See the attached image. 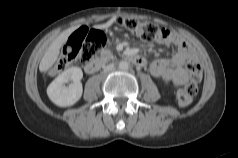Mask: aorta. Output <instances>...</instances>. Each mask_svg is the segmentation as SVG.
I'll return each mask as SVG.
<instances>
[{
    "instance_id": "obj_1",
    "label": "aorta",
    "mask_w": 238,
    "mask_h": 158,
    "mask_svg": "<svg viewBox=\"0 0 238 158\" xmlns=\"http://www.w3.org/2000/svg\"><path fill=\"white\" fill-rule=\"evenodd\" d=\"M118 68L120 69V70H128V68H129V63L128 62H126V61H120L119 62V64H118Z\"/></svg>"
}]
</instances>
